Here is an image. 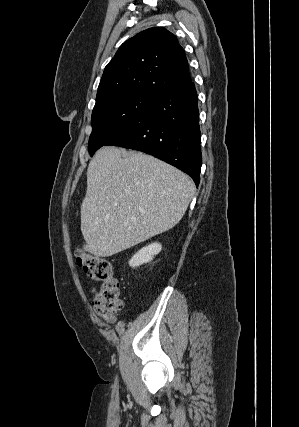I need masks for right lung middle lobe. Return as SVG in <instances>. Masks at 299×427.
<instances>
[{"label": "right lung middle lobe", "mask_w": 299, "mask_h": 427, "mask_svg": "<svg viewBox=\"0 0 299 427\" xmlns=\"http://www.w3.org/2000/svg\"><path fill=\"white\" fill-rule=\"evenodd\" d=\"M153 100L140 94L121 93L97 101L92 112L90 155L126 130Z\"/></svg>", "instance_id": "obj_1"}]
</instances>
